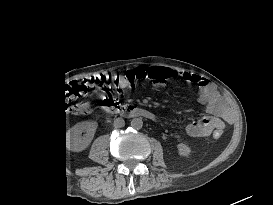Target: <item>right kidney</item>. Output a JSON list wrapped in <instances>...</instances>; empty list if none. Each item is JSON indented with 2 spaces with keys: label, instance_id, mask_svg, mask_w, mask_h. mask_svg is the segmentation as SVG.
I'll list each match as a JSON object with an SVG mask.
<instances>
[{
  "label": "right kidney",
  "instance_id": "right-kidney-1",
  "mask_svg": "<svg viewBox=\"0 0 273 205\" xmlns=\"http://www.w3.org/2000/svg\"><path fill=\"white\" fill-rule=\"evenodd\" d=\"M96 124L95 123H79L75 125L74 131H75V139H76V150L80 151L84 149L93 139L95 130H96ZM85 130L87 133L84 136H81L82 131ZM79 140V143H78ZM79 144V145H78Z\"/></svg>",
  "mask_w": 273,
  "mask_h": 205
}]
</instances>
